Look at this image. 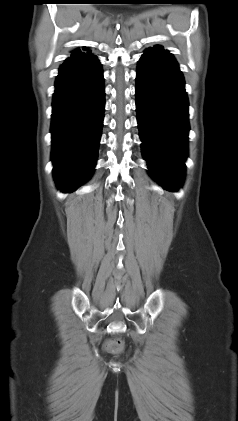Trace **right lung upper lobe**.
<instances>
[{
    "mask_svg": "<svg viewBox=\"0 0 238 421\" xmlns=\"http://www.w3.org/2000/svg\"><path fill=\"white\" fill-rule=\"evenodd\" d=\"M82 52L80 49L75 50L73 53Z\"/></svg>",
    "mask_w": 238,
    "mask_h": 421,
    "instance_id": "obj_1",
    "label": "right lung upper lobe"
}]
</instances>
